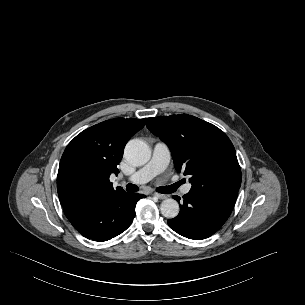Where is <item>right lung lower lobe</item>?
I'll return each instance as SVG.
<instances>
[{"label": "right lung lower lobe", "instance_id": "obj_1", "mask_svg": "<svg viewBox=\"0 0 305 305\" xmlns=\"http://www.w3.org/2000/svg\"><path fill=\"white\" fill-rule=\"evenodd\" d=\"M144 195L125 191L93 199L64 213L74 228L88 239L107 241L125 231L135 216L136 203Z\"/></svg>", "mask_w": 305, "mask_h": 305}]
</instances>
